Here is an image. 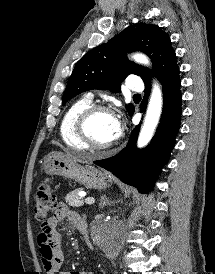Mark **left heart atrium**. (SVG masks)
Here are the masks:
<instances>
[{
  "mask_svg": "<svg viewBox=\"0 0 215 274\" xmlns=\"http://www.w3.org/2000/svg\"><path fill=\"white\" fill-rule=\"evenodd\" d=\"M114 123H115L116 131H117V135H119L122 130V119L120 117L115 116Z\"/></svg>",
  "mask_w": 215,
  "mask_h": 274,
  "instance_id": "39dd6f15",
  "label": "left heart atrium"
}]
</instances>
